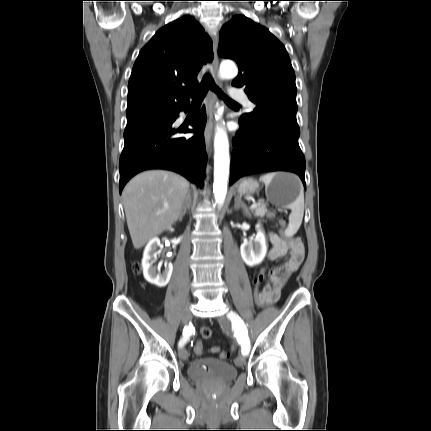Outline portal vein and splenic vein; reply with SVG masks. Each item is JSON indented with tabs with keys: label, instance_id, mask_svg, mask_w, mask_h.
I'll list each match as a JSON object with an SVG mask.
<instances>
[{
	"label": "portal vein and splenic vein",
	"instance_id": "18ae733b",
	"mask_svg": "<svg viewBox=\"0 0 431 431\" xmlns=\"http://www.w3.org/2000/svg\"><path fill=\"white\" fill-rule=\"evenodd\" d=\"M260 205V203H254L250 206V209H254L256 207H258Z\"/></svg>",
	"mask_w": 431,
	"mask_h": 431
}]
</instances>
